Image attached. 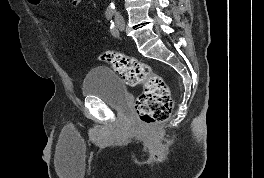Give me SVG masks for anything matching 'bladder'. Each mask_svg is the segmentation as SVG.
Wrapping results in <instances>:
<instances>
[{"label":"bladder","instance_id":"31cf9c89","mask_svg":"<svg viewBox=\"0 0 264 178\" xmlns=\"http://www.w3.org/2000/svg\"><path fill=\"white\" fill-rule=\"evenodd\" d=\"M84 98L98 99L112 108H122L128 101L124 81L112 69L95 67L87 72L82 82Z\"/></svg>","mask_w":264,"mask_h":178}]
</instances>
